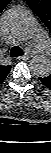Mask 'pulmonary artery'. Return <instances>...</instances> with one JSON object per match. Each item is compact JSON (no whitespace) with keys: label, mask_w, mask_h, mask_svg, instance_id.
Here are the masks:
<instances>
[{"label":"pulmonary artery","mask_w":51,"mask_h":153,"mask_svg":"<svg viewBox=\"0 0 51 153\" xmlns=\"http://www.w3.org/2000/svg\"><path fill=\"white\" fill-rule=\"evenodd\" d=\"M35 45L41 52H47L50 48L49 41L41 37H36Z\"/></svg>","instance_id":"obj_1"}]
</instances>
